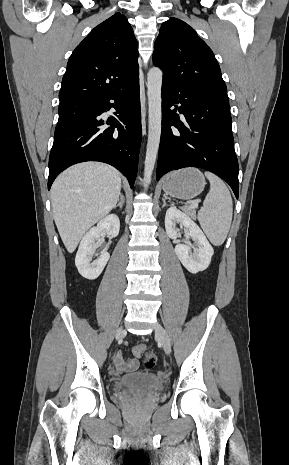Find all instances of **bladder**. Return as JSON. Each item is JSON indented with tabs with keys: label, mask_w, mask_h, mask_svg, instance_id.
I'll return each mask as SVG.
<instances>
[{
	"label": "bladder",
	"mask_w": 289,
	"mask_h": 465,
	"mask_svg": "<svg viewBox=\"0 0 289 465\" xmlns=\"http://www.w3.org/2000/svg\"><path fill=\"white\" fill-rule=\"evenodd\" d=\"M138 388L150 394H161L165 391V384L152 375L133 373L124 375L114 385L115 391L119 392L126 388Z\"/></svg>",
	"instance_id": "31cf9c89"
}]
</instances>
